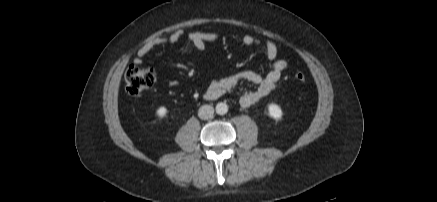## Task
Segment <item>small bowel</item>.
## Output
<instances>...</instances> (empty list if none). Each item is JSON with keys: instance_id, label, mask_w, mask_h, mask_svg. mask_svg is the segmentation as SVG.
I'll return each mask as SVG.
<instances>
[{"instance_id": "obj_1", "label": "small bowel", "mask_w": 437, "mask_h": 202, "mask_svg": "<svg viewBox=\"0 0 437 202\" xmlns=\"http://www.w3.org/2000/svg\"><path fill=\"white\" fill-rule=\"evenodd\" d=\"M185 32L182 29H177L166 36L154 38L146 42L136 54L134 62L141 64L146 55L157 47L172 45L178 42ZM189 41L201 52L206 48L209 42L217 41L221 38V34L214 32L192 31L187 34ZM242 42L247 46H255L263 50L267 59L272 62L271 70L262 76L253 70H245L237 74L215 79L209 85L206 91V98L210 100L217 99L225 93L234 89L241 82H249L256 85L253 90L246 91L240 97L242 107L249 108L255 105L258 101L268 96L278 85L282 73L286 70L288 63L284 59L278 58V47L271 41L266 40L261 42L251 35H244ZM169 86H177L178 82L169 81Z\"/></svg>"}]
</instances>
